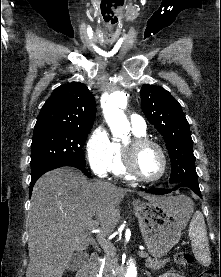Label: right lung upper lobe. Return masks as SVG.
Masks as SVG:
<instances>
[{
  "label": "right lung upper lobe",
  "mask_w": 221,
  "mask_h": 277,
  "mask_svg": "<svg viewBox=\"0 0 221 277\" xmlns=\"http://www.w3.org/2000/svg\"><path fill=\"white\" fill-rule=\"evenodd\" d=\"M96 102L89 89L80 82L56 88L43 105L34 128L92 127Z\"/></svg>",
  "instance_id": "obj_1"
}]
</instances>
